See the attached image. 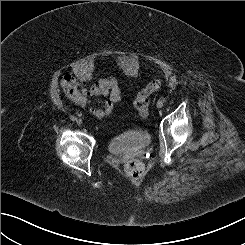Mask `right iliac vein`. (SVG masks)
<instances>
[{"instance_id": "63e3f726", "label": "right iliac vein", "mask_w": 245, "mask_h": 245, "mask_svg": "<svg viewBox=\"0 0 245 245\" xmlns=\"http://www.w3.org/2000/svg\"><path fill=\"white\" fill-rule=\"evenodd\" d=\"M76 123H77L78 125H81V124H82V120H81V119H77V120H76Z\"/></svg>"}]
</instances>
